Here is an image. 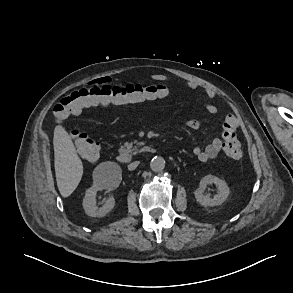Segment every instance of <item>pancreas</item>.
Wrapping results in <instances>:
<instances>
[{"mask_svg":"<svg viewBox=\"0 0 293 293\" xmlns=\"http://www.w3.org/2000/svg\"><path fill=\"white\" fill-rule=\"evenodd\" d=\"M120 151L136 154L138 149L136 146L133 147V143H125V145L120 148Z\"/></svg>","mask_w":293,"mask_h":293,"instance_id":"obj_1","label":"pancreas"}]
</instances>
